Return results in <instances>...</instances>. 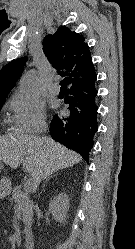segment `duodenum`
Returning a JSON list of instances; mask_svg holds the SVG:
<instances>
[{
    "label": "duodenum",
    "mask_w": 135,
    "mask_h": 249,
    "mask_svg": "<svg viewBox=\"0 0 135 249\" xmlns=\"http://www.w3.org/2000/svg\"><path fill=\"white\" fill-rule=\"evenodd\" d=\"M25 244H26V246L29 247L30 249H34V246H35V239H34V233H33L32 230H30V231L27 233Z\"/></svg>",
    "instance_id": "duodenum-1"
}]
</instances>
